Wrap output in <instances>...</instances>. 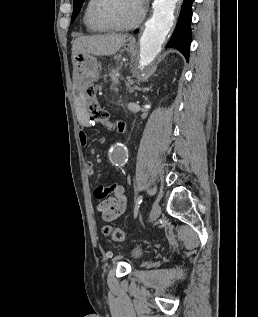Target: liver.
Segmentation results:
<instances>
[{"instance_id": "liver-1", "label": "liver", "mask_w": 258, "mask_h": 317, "mask_svg": "<svg viewBox=\"0 0 258 317\" xmlns=\"http://www.w3.org/2000/svg\"><path fill=\"white\" fill-rule=\"evenodd\" d=\"M128 34H91V36H77L72 44V58L77 52L90 54H115L121 48Z\"/></svg>"}]
</instances>
